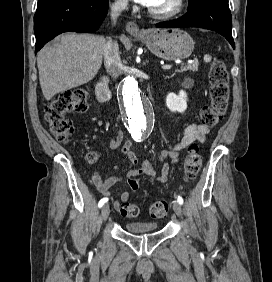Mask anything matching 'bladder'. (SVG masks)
<instances>
[{
	"mask_svg": "<svg viewBox=\"0 0 272 282\" xmlns=\"http://www.w3.org/2000/svg\"><path fill=\"white\" fill-rule=\"evenodd\" d=\"M124 229L134 234H145L158 229V223L147 221H131L124 225Z\"/></svg>",
	"mask_w": 272,
	"mask_h": 282,
	"instance_id": "31cf9c89",
	"label": "bladder"
}]
</instances>
